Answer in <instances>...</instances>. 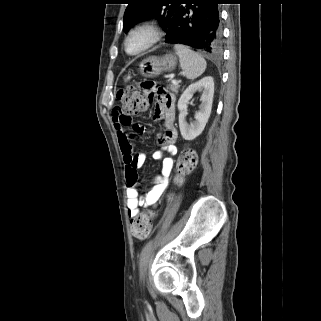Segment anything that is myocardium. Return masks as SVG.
I'll return each mask as SVG.
<instances>
[{
    "mask_svg": "<svg viewBox=\"0 0 321 321\" xmlns=\"http://www.w3.org/2000/svg\"><path fill=\"white\" fill-rule=\"evenodd\" d=\"M138 33H146L148 36V40L146 44L140 48L137 51L131 52L128 49V42L131 39L132 36ZM162 37V29L161 27L154 21H146L142 22L136 26H134L125 36L124 39V50L127 54L131 56H137L140 55L146 51H148L150 48H152Z\"/></svg>",
    "mask_w": 321,
    "mask_h": 321,
    "instance_id": "f54148a6",
    "label": "myocardium"
}]
</instances>
